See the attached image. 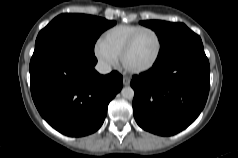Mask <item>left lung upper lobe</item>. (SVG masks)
Instances as JSON below:
<instances>
[{
	"instance_id": "1",
	"label": "left lung upper lobe",
	"mask_w": 238,
	"mask_h": 158,
	"mask_svg": "<svg viewBox=\"0 0 238 158\" xmlns=\"http://www.w3.org/2000/svg\"><path fill=\"white\" fill-rule=\"evenodd\" d=\"M140 24L154 30L159 38L161 49L158 59H161L178 48L200 41V37L183 23H170L160 20L141 21Z\"/></svg>"
}]
</instances>
